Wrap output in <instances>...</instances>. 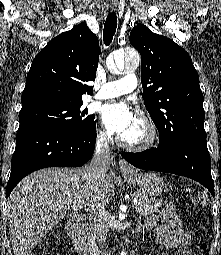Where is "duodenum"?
<instances>
[{
    "label": "duodenum",
    "instance_id": "duodenum-1",
    "mask_svg": "<svg viewBox=\"0 0 221 255\" xmlns=\"http://www.w3.org/2000/svg\"><path fill=\"white\" fill-rule=\"evenodd\" d=\"M66 231L71 240L73 248L79 255H97L90 248L89 236L82 226L80 216L72 217L66 224Z\"/></svg>",
    "mask_w": 221,
    "mask_h": 255
}]
</instances>
